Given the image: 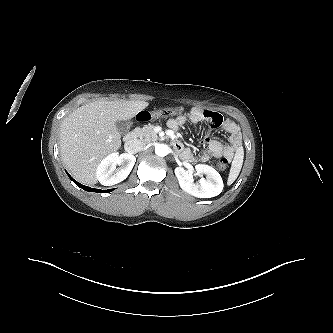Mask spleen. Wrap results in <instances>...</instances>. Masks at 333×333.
<instances>
[{
  "instance_id": "obj_1",
  "label": "spleen",
  "mask_w": 333,
  "mask_h": 333,
  "mask_svg": "<svg viewBox=\"0 0 333 333\" xmlns=\"http://www.w3.org/2000/svg\"><path fill=\"white\" fill-rule=\"evenodd\" d=\"M243 158H244L243 150L242 149L237 150L234 159L232 161L230 173L228 176V185H231L238 177L243 165Z\"/></svg>"
}]
</instances>
